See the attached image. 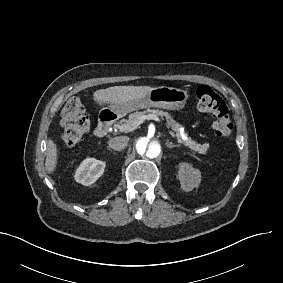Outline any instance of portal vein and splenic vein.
<instances>
[{
    "label": "portal vein and splenic vein",
    "mask_w": 283,
    "mask_h": 283,
    "mask_svg": "<svg viewBox=\"0 0 283 283\" xmlns=\"http://www.w3.org/2000/svg\"><path fill=\"white\" fill-rule=\"evenodd\" d=\"M145 119H150V120L159 121V118H158L157 116H154V115H151V114H149V115H144V116L142 117V120L139 121V122L134 126V128H132V130L136 129L137 126L140 125L141 123H143V121H144Z\"/></svg>",
    "instance_id": "portal-vein-and-splenic-vein-1"
}]
</instances>
